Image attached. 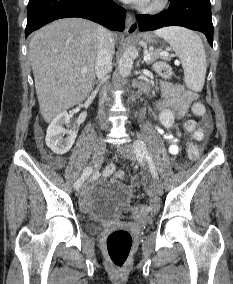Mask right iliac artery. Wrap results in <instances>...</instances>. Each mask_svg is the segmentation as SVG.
Here are the masks:
<instances>
[{"label": "right iliac artery", "instance_id": "obj_1", "mask_svg": "<svg viewBox=\"0 0 233 284\" xmlns=\"http://www.w3.org/2000/svg\"><path fill=\"white\" fill-rule=\"evenodd\" d=\"M92 171L93 169L91 166L86 167L81 177L74 183V188L77 189L78 187H81L84 180H86L89 177V172H92Z\"/></svg>", "mask_w": 233, "mask_h": 284}]
</instances>
